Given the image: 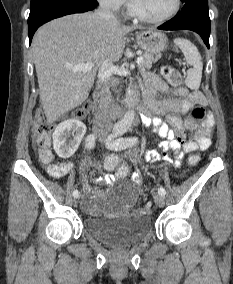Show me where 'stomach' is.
Instances as JSON below:
<instances>
[{
	"label": "stomach",
	"instance_id": "stomach-1",
	"mask_svg": "<svg viewBox=\"0 0 233 284\" xmlns=\"http://www.w3.org/2000/svg\"><path fill=\"white\" fill-rule=\"evenodd\" d=\"M136 40L138 45L146 53L153 55L163 52L167 47L166 35L153 29H147L136 33Z\"/></svg>",
	"mask_w": 233,
	"mask_h": 284
}]
</instances>
